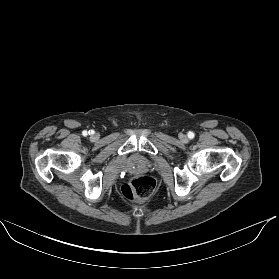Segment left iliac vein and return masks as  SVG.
Listing matches in <instances>:
<instances>
[{
	"label": "left iliac vein",
	"instance_id": "left-iliac-vein-1",
	"mask_svg": "<svg viewBox=\"0 0 279 279\" xmlns=\"http://www.w3.org/2000/svg\"><path fill=\"white\" fill-rule=\"evenodd\" d=\"M182 141L186 142L188 140L187 136L186 135H182L181 137Z\"/></svg>",
	"mask_w": 279,
	"mask_h": 279
}]
</instances>
